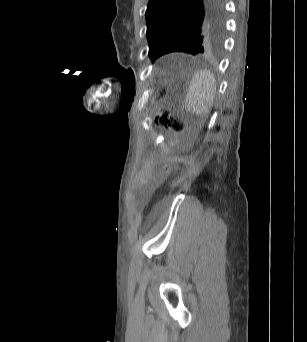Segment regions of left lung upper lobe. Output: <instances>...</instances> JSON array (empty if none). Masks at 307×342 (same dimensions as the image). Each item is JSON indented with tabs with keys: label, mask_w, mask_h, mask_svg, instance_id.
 Wrapping results in <instances>:
<instances>
[{
	"label": "left lung upper lobe",
	"mask_w": 307,
	"mask_h": 342,
	"mask_svg": "<svg viewBox=\"0 0 307 342\" xmlns=\"http://www.w3.org/2000/svg\"><path fill=\"white\" fill-rule=\"evenodd\" d=\"M145 15L152 62L170 52L209 53L222 43V0H150Z\"/></svg>",
	"instance_id": "obj_1"
}]
</instances>
